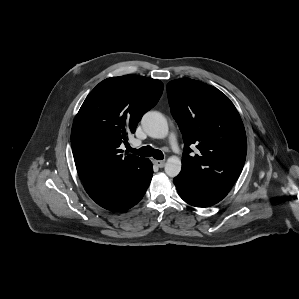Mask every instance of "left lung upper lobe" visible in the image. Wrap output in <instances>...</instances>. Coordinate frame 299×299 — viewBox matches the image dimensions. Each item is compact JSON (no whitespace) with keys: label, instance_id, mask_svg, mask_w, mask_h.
Returning a JSON list of instances; mask_svg holds the SVG:
<instances>
[{"label":"left lung upper lobe","instance_id":"1","mask_svg":"<svg viewBox=\"0 0 299 299\" xmlns=\"http://www.w3.org/2000/svg\"><path fill=\"white\" fill-rule=\"evenodd\" d=\"M167 93L184 140L180 173L229 192L247 152L244 125L235 106L217 88L189 78L170 81ZM193 144L197 154L189 155Z\"/></svg>","mask_w":299,"mask_h":299}]
</instances>
